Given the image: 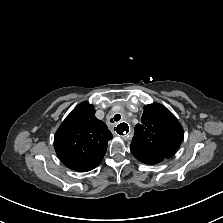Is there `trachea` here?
Listing matches in <instances>:
<instances>
[{
	"label": "trachea",
	"instance_id": "trachea-1",
	"mask_svg": "<svg viewBox=\"0 0 223 223\" xmlns=\"http://www.w3.org/2000/svg\"><path fill=\"white\" fill-rule=\"evenodd\" d=\"M121 119V116H120V114H116L115 116H114V119H111L110 120V122H114V121H119ZM114 130H115V128H114Z\"/></svg>",
	"mask_w": 223,
	"mask_h": 223
}]
</instances>
